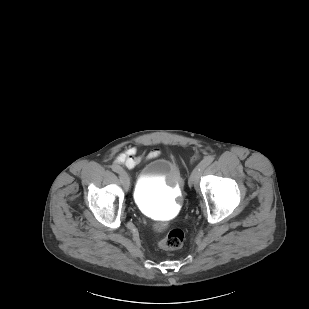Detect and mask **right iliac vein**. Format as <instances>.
Returning a JSON list of instances; mask_svg holds the SVG:
<instances>
[{"instance_id": "1", "label": "right iliac vein", "mask_w": 309, "mask_h": 309, "mask_svg": "<svg viewBox=\"0 0 309 309\" xmlns=\"http://www.w3.org/2000/svg\"><path fill=\"white\" fill-rule=\"evenodd\" d=\"M119 177H120L121 183L124 186L128 187L130 185V177H129V175L124 170H122V169L120 170Z\"/></svg>"}]
</instances>
